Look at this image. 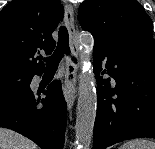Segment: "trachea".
<instances>
[{
  "mask_svg": "<svg viewBox=\"0 0 155 149\" xmlns=\"http://www.w3.org/2000/svg\"><path fill=\"white\" fill-rule=\"evenodd\" d=\"M64 53L67 55L70 54V48H69V38H68V31L65 26H61L59 28V39L57 43V47L54 51V53L46 58L47 61V71H53L57 69V66L64 56ZM75 60V59H74Z\"/></svg>",
  "mask_w": 155,
  "mask_h": 149,
  "instance_id": "1",
  "label": "trachea"
}]
</instances>
